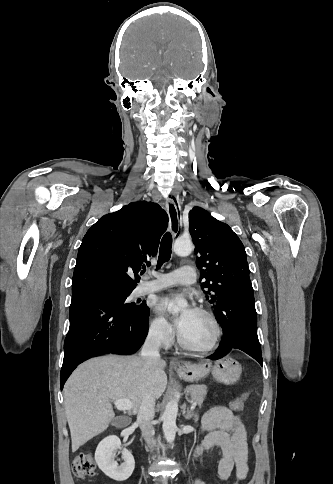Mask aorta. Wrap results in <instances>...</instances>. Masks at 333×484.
<instances>
[{
  "instance_id": "obj_1",
  "label": "aorta",
  "mask_w": 333,
  "mask_h": 484,
  "mask_svg": "<svg viewBox=\"0 0 333 484\" xmlns=\"http://www.w3.org/2000/svg\"><path fill=\"white\" fill-rule=\"evenodd\" d=\"M193 250L192 242L187 239H177L173 244V251L178 256H187ZM188 303L184 298H177L172 308V314H178L187 307ZM178 414V402L172 399L166 405L163 413V433L167 442H173L176 436V417Z\"/></svg>"
}]
</instances>
